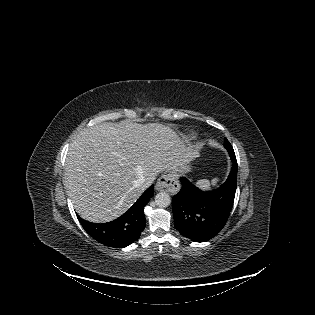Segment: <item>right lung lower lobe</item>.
Wrapping results in <instances>:
<instances>
[{
    "label": "right lung lower lobe",
    "mask_w": 315,
    "mask_h": 315,
    "mask_svg": "<svg viewBox=\"0 0 315 315\" xmlns=\"http://www.w3.org/2000/svg\"><path fill=\"white\" fill-rule=\"evenodd\" d=\"M154 186H150L134 205L119 218L108 223H91L78 216L86 232L103 245L124 248L140 237L145 228L143 209L153 196Z\"/></svg>",
    "instance_id": "1"
}]
</instances>
